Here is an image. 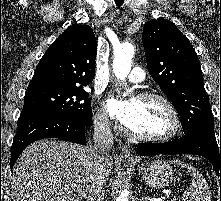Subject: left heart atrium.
I'll return each instance as SVG.
<instances>
[{
	"label": "left heart atrium",
	"mask_w": 221,
	"mask_h": 201,
	"mask_svg": "<svg viewBox=\"0 0 221 201\" xmlns=\"http://www.w3.org/2000/svg\"><path fill=\"white\" fill-rule=\"evenodd\" d=\"M131 100H121L118 98L110 97L105 102V107L108 114L123 123L130 114Z\"/></svg>",
	"instance_id": "39dd6f15"
}]
</instances>
